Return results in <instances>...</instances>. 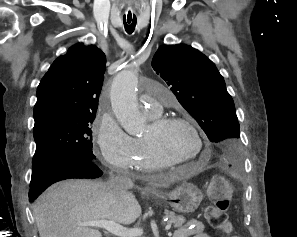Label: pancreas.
<instances>
[{"label":"pancreas","mask_w":297,"mask_h":237,"mask_svg":"<svg viewBox=\"0 0 297 237\" xmlns=\"http://www.w3.org/2000/svg\"><path fill=\"white\" fill-rule=\"evenodd\" d=\"M165 215L169 218L168 223L174 224L175 228L181 227L186 221L183 216L175 215L174 212L165 211Z\"/></svg>","instance_id":"1"}]
</instances>
